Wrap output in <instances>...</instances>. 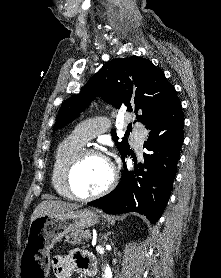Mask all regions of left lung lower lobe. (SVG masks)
<instances>
[{
	"instance_id": "obj_1",
	"label": "left lung lower lobe",
	"mask_w": 221,
	"mask_h": 278,
	"mask_svg": "<svg viewBox=\"0 0 221 278\" xmlns=\"http://www.w3.org/2000/svg\"><path fill=\"white\" fill-rule=\"evenodd\" d=\"M149 136L144 142L147 151L134 168L124 171L118 186L109 194L88 205L101 208L106 213L137 212L155 224L169 200L176 175L180 149L184 141V118L178 99L156 122L145 125Z\"/></svg>"
}]
</instances>
